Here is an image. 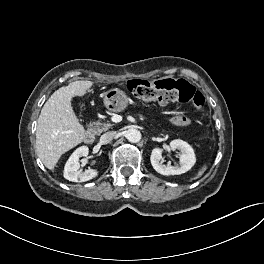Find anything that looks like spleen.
Wrapping results in <instances>:
<instances>
[{
	"instance_id": "3e777b00",
	"label": "spleen",
	"mask_w": 264,
	"mask_h": 264,
	"mask_svg": "<svg viewBox=\"0 0 264 264\" xmlns=\"http://www.w3.org/2000/svg\"><path fill=\"white\" fill-rule=\"evenodd\" d=\"M206 169H207V166L205 164V165H203L201 167V169L198 171V173L196 174V176L194 178H192L191 180H194V179L199 178L206 171Z\"/></svg>"
}]
</instances>
